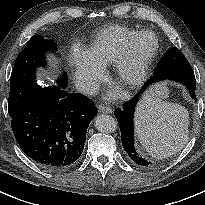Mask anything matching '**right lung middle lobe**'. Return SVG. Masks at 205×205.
<instances>
[{"mask_svg":"<svg viewBox=\"0 0 205 205\" xmlns=\"http://www.w3.org/2000/svg\"><path fill=\"white\" fill-rule=\"evenodd\" d=\"M56 44L40 35H34L16 58L10 77L8 112L16 115L41 88L36 83V69L46 64L45 53L56 51ZM59 86L67 84L66 74L57 81Z\"/></svg>","mask_w":205,"mask_h":205,"instance_id":"obj_1","label":"right lung middle lobe"}]
</instances>
